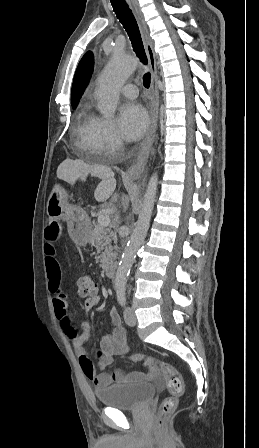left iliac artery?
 I'll return each mask as SVG.
<instances>
[{
    "instance_id": "1",
    "label": "left iliac artery",
    "mask_w": 259,
    "mask_h": 448,
    "mask_svg": "<svg viewBox=\"0 0 259 448\" xmlns=\"http://www.w3.org/2000/svg\"><path fill=\"white\" fill-rule=\"evenodd\" d=\"M116 293H117V299L119 303L124 306L126 303V297H125V291L126 287L124 283H117L115 286Z\"/></svg>"
}]
</instances>
